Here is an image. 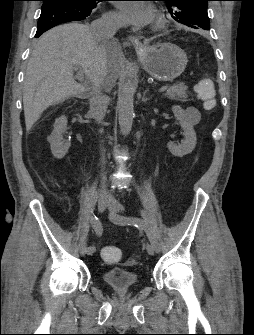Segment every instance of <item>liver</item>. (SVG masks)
Segmentation results:
<instances>
[{"mask_svg":"<svg viewBox=\"0 0 254 335\" xmlns=\"http://www.w3.org/2000/svg\"><path fill=\"white\" fill-rule=\"evenodd\" d=\"M122 62L117 42L95 40L88 25L68 23L44 33L35 44L24 79L27 130L50 106L91 92L94 79L110 91L120 76ZM75 65L85 74L83 84L73 76Z\"/></svg>","mask_w":254,"mask_h":335,"instance_id":"obj_1","label":"liver"}]
</instances>
